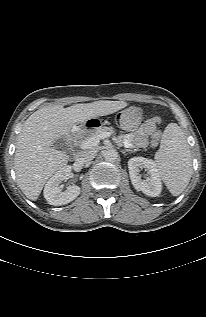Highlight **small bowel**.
Listing matches in <instances>:
<instances>
[{
  "label": "small bowel",
  "mask_w": 206,
  "mask_h": 317,
  "mask_svg": "<svg viewBox=\"0 0 206 317\" xmlns=\"http://www.w3.org/2000/svg\"><path fill=\"white\" fill-rule=\"evenodd\" d=\"M160 124V118L153 117L143 122V124L137 128L134 132L126 134L123 138V142L128 147H145L149 143L155 146L158 142L160 132L158 131V125Z\"/></svg>",
  "instance_id": "small-bowel-1"
}]
</instances>
